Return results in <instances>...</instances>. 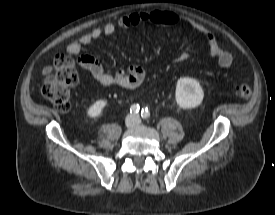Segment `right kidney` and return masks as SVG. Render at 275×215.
<instances>
[{
	"label": "right kidney",
	"instance_id": "right-kidney-1",
	"mask_svg": "<svg viewBox=\"0 0 275 215\" xmlns=\"http://www.w3.org/2000/svg\"><path fill=\"white\" fill-rule=\"evenodd\" d=\"M107 102L105 100H98L95 103H93L88 111L87 114L88 116L92 117V118H96L98 116H100L103 108L106 106Z\"/></svg>",
	"mask_w": 275,
	"mask_h": 215
}]
</instances>
